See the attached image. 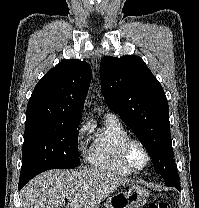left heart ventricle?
Instances as JSON below:
<instances>
[{"label": "left heart ventricle", "mask_w": 199, "mask_h": 208, "mask_svg": "<svg viewBox=\"0 0 199 208\" xmlns=\"http://www.w3.org/2000/svg\"><path fill=\"white\" fill-rule=\"evenodd\" d=\"M129 156L131 162L136 166V167H141L144 165L146 157L144 154V151L142 148L137 145L133 144L129 150Z\"/></svg>", "instance_id": "b2bd125f"}]
</instances>
